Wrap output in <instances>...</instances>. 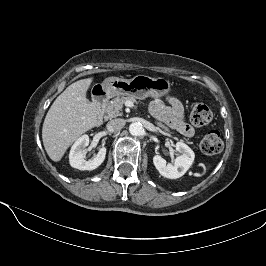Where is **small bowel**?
Instances as JSON below:
<instances>
[{
  "instance_id": "obj_1",
  "label": "small bowel",
  "mask_w": 266,
  "mask_h": 266,
  "mask_svg": "<svg viewBox=\"0 0 266 266\" xmlns=\"http://www.w3.org/2000/svg\"><path fill=\"white\" fill-rule=\"evenodd\" d=\"M149 111L159 121L165 123L170 128L176 129L186 137L194 134V129L185 119L184 106L175 97L166 98V103L155 100L149 105Z\"/></svg>"
}]
</instances>
